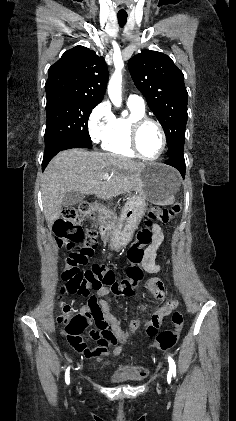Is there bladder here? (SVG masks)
Listing matches in <instances>:
<instances>
[{
	"label": "bladder",
	"instance_id": "31cf9c89",
	"mask_svg": "<svg viewBox=\"0 0 236 421\" xmlns=\"http://www.w3.org/2000/svg\"><path fill=\"white\" fill-rule=\"evenodd\" d=\"M144 380L142 372L134 366L120 365L114 371L111 377V383H131Z\"/></svg>",
	"mask_w": 236,
	"mask_h": 421
}]
</instances>
